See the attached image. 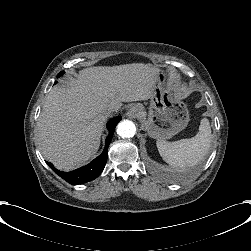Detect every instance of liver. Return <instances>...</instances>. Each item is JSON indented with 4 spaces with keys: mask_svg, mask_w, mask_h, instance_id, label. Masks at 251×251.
<instances>
[{
    "mask_svg": "<svg viewBox=\"0 0 251 251\" xmlns=\"http://www.w3.org/2000/svg\"><path fill=\"white\" fill-rule=\"evenodd\" d=\"M156 70L144 62L89 66L61 81L50 91L37 122L43 157L64 172L86 163L100 148L110 109L154 95Z\"/></svg>",
    "mask_w": 251,
    "mask_h": 251,
    "instance_id": "liver-1",
    "label": "liver"
}]
</instances>
